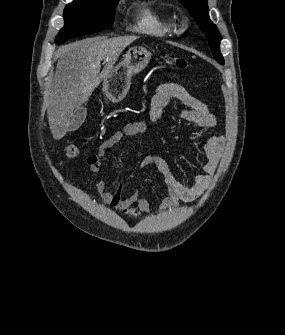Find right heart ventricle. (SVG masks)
Instances as JSON below:
<instances>
[{
  "instance_id": "1",
  "label": "right heart ventricle",
  "mask_w": 285,
  "mask_h": 335,
  "mask_svg": "<svg viewBox=\"0 0 285 335\" xmlns=\"http://www.w3.org/2000/svg\"><path fill=\"white\" fill-rule=\"evenodd\" d=\"M138 31L153 37H163L168 28L161 21L155 7L151 4L145 6L138 23Z\"/></svg>"
}]
</instances>
